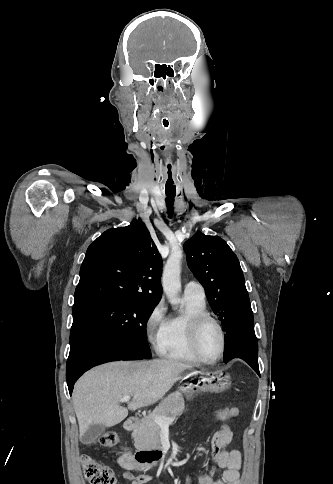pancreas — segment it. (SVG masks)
I'll use <instances>...</instances> for the list:
<instances>
[{"label":"pancreas","instance_id":"1","mask_svg":"<svg viewBox=\"0 0 333 484\" xmlns=\"http://www.w3.org/2000/svg\"><path fill=\"white\" fill-rule=\"evenodd\" d=\"M185 411V404L180 392L172 393L164 398L159 406L147 417L141 419V425L132 433L137 449H161L160 426L155 423L154 416L179 417Z\"/></svg>","mask_w":333,"mask_h":484}]
</instances>
